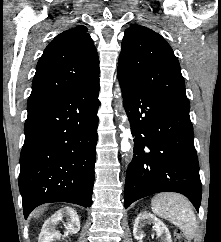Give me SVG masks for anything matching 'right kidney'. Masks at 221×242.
I'll return each mask as SVG.
<instances>
[{
	"mask_svg": "<svg viewBox=\"0 0 221 242\" xmlns=\"http://www.w3.org/2000/svg\"><path fill=\"white\" fill-rule=\"evenodd\" d=\"M66 217L68 222L65 224L66 233L64 237L76 234L80 230V220L77 212L71 207H64L47 219L39 235V242H54L61 239V234L56 230L57 225Z\"/></svg>",
	"mask_w": 221,
	"mask_h": 242,
	"instance_id": "right-kidney-1",
	"label": "right kidney"
}]
</instances>
